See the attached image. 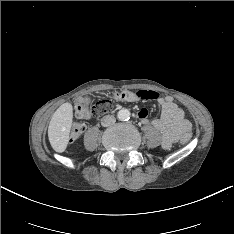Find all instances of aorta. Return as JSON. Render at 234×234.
<instances>
[{
  "label": "aorta",
  "instance_id": "1",
  "mask_svg": "<svg viewBox=\"0 0 234 234\" xmlns=\"http://www.w3.org/2000/svg\"><path fill=\"white\" fill-rule=\"evenodd\" d=\"M117 117L119 120L121 121H126L129 120L130 118V111L128 109H121L118 113H117Z\"/></svg>",
  "mask_w": 234,
  "mask_h": 234
}]
</instances>
